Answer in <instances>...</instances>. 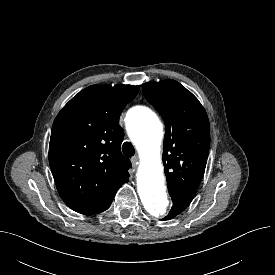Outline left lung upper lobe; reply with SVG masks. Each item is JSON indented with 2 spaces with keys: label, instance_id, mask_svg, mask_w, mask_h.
<instances>
[{
  "label": "left lung upper lobe",
  "instance_id": "obj_1",
  "mask_svg": "<svg viewBox=\"0 0 275 275\" xmlns=\"http://www.w3.org/2000/svg\"><path fill=\"white\" fill-rule=\"evenodd\" d=\"M143 93L164 119L163 164L169 193L195 194L210 147L209 121L203 106L172 79L145 83Z\"/></svg>",
  "mask_w": 275,
  "mask_h": 275
}]
</instances>
